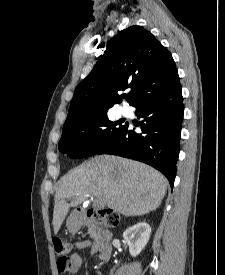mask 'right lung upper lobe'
<instances>
[{
    "label": "right lung upper lobe",
    "instance_id": "cb5924a9",
    "mask_svg": "<svg viewBox=\"0 0 225 275\" xmlns=\"http://www.w3.org/2000/svg\"><path fill=\"white\" fill-rule=\"evenodd\" d=\"M179 80L171 53L141 26L120 31L90 74L77 86L64 127L107 112L131 88L130 105Z\"/></svg>",
    "mask_w": 225,
    "mask_h": 275
}]
</instances>
